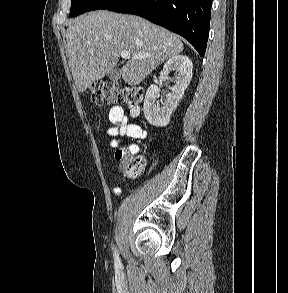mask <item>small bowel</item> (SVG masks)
<instances>
[{
	"instance_id": "small-bowel-1",
	"label": "small bowel",
	"mask_w": 288,
	"mask_h": 293,
	"mask_svg": "<svg viewBox=\"0 0 288 293\" xmlns=\"http://www.w3.org/2000/svg\"><path fill=\"white\" fill-rule=\"evenodd\" d=\"M109 120L115 126L110 127L106 131V135L109 137H128L131 139H144L146 137V132L137 124L131 123L124 113L121 106H114L109 111ZM110 148H116L118 141L116 139H111L109 141ZM130 154L134 155L138 152V146L132 144L128 148ZM121 191L120 187H115L114 192L119 194Z\"/></svg>"
}]
</instances>
